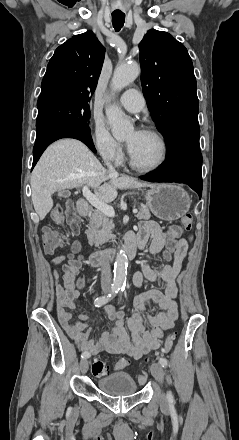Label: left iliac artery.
I'll use <instances>...</instances> for the list:
<instances>
[{"mask_svg": "<svg viewBox=\"0 0 239 440\" xmlns=\"http://www.w3.org/2000/svg\"><path fill=\"white\" fill-rule=\"evenodd\" d=\"M123 290H124V287L121 288V291H123ZM159 363L164 368H166L167 365H168V362H167L166 358H160L159 359ZM167 399H168V401L170 403H172L174 401L173 395H172V393L170 391L167 393Z\"/></svg>", "mask_w": 239, "mask_h": 440, "instance_id": "obj_1", "label": "left iliac artery"}]
</instances>
